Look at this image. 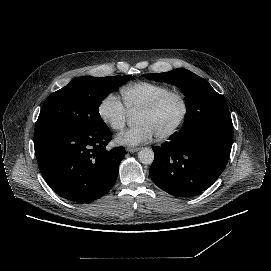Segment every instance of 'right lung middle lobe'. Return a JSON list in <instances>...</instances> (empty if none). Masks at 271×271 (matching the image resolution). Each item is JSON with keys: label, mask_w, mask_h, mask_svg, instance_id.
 Wrapping results in <instances>:
<instances>
[{"label": "right lung middle lobe", "mask_w": 271, "mask_h": 271, "mask_svg": "<svg viewBox=\"0 0 271 271\" xmlns=\"http://www.w3.org/2000/svg\"><path fill=\"white\" fill-rule=\"evenodd\" d=\"M132 76L79 77L50 95L38 117L36 129L67 125L92 129L105 124L98 112L101 101Z\"/></svg>", "instance_id": "right-lung-middle-lobe-1"}]
</instances>
